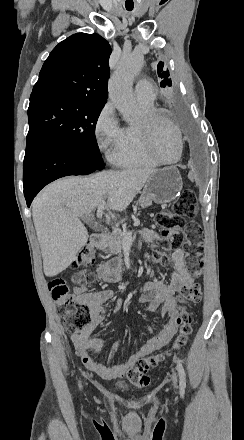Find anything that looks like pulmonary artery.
Here are the masks:
<instances>
[{"instance_id": "1", "label": "pulmonary artery", "mask_w": 244, "mask_h": 440, "mask_svg": "<svg viewBox=\"0 0 244 440\" xmlns=\"http://www.w3.org/2000/svg\"><path fill=\"white\" fill-rule=\"evenodd\" d=\"M135 89L138 93H135L136 99L141 103L154 102L157 97L156 90L153 89L152 82H136Z\"/></svg>"}]
</instances>
